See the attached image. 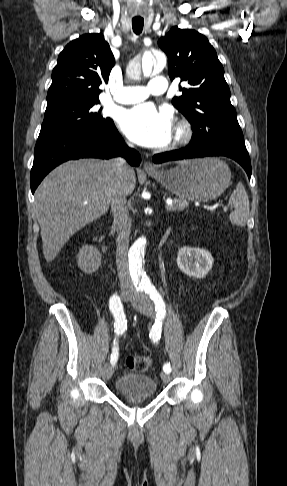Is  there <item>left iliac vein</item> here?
Returning <instances> with one entry per match:
<instances>
[{"mask_svg":"<svg viewBox=\"0 0 287 486\" xmlns=\"http://www.w3.org/2000/svg\"><path fill=\"white\" fill-rule=\"evenodd\" d=\"M130 302L137 311L146 315L147 317L154 318V306L151 300L145 294L134 293L130 298ZM161 379L163 382L168 383L171 380V376L169 373L162 372Z\"/></svg>","mask_w":287,"mask_h":486,"instance_id":"obj_1","label":"left iliac vein"}]
</instances>
